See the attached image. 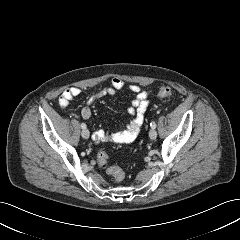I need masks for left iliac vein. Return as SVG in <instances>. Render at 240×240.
<instances>
[{
    "mask_svg": "<svg viewBox=\"0 0 240 240\" xmlns=\"http://www.w3.org/2000/svg\"><path fill=\"white\" fill-rule=\"evenodd\" d=\"M149 137H150V139H152V140L156 139V137H157V132H156L155 129H151V130L149 131Z\"/></svg>",
    "mask_w": 240,
    "mask_h": 240,
    "instance_id": "obj_1",
    "label": "left iliac vein"
}]
</instances>
